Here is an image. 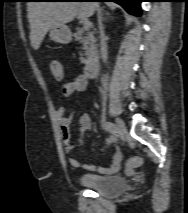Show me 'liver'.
Masks as SVG:
<instances>
[{
	"mask_svg": "<svg viewBox=\"0 0 188 213\" xmlns=\"http://www.w3.org/2000/svg\"><path fill=\"white\" fill-rule=\"evenodd\" d=\"M98 8L97 2H28L31 46L38 50L51 28L71 22L76 16L90 17Z\"/></svg>",
	"mask_w": 188,
	"mask_h": 213,
	"instance_id": "1",
	"label": "liver"
}]
</instances>
